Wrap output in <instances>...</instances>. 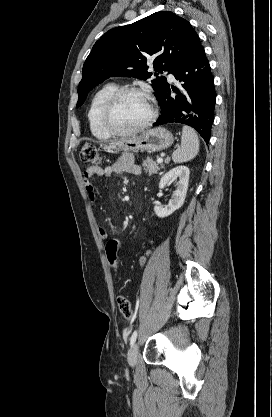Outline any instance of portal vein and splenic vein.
I'll return each instance as SVG.
<instances>
[{
  "label": "portal vein and splenic vein",
  "mask_w": 272,
  "mask_h": 417,
  "mask_svg": "<svg viewBox=\"0 0 272 417\" xmlns=\"http://www.w3.org/2000/svg\"><path fill=\"white\" fill-rule=\"evenodd\" d=\"M163 162V159L160 157V158H157V163H162Z\"/></svg>",
  "instance_id": "obj_1"
}]
</instances>
